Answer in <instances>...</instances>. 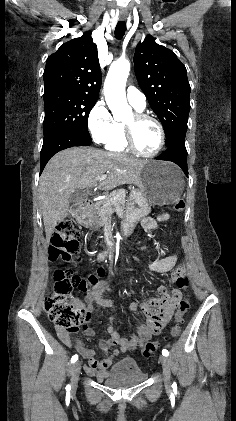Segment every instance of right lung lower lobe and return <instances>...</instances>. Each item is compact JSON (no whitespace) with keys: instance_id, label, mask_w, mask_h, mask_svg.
I'll return each instance as SVG.
<instances>
[{"instance_id":"right-lung-lower-lobe-1","label":"right lung lower lobe","mask_w":236,"mask_h":421,"mask_svg":"<svg viewBox=\"0 0 236 421\" xmlns=\"http://www.w3.org/2000/svg\"><path fill=\"white\" fill-rule=\"evenodd\" d=\"M92 143L91 140L82 138L78 135L69 132H57L50 137L44 139L41 150V168L40 174L49 159L57 152L74 146H88Z\"/></svg>"}]
</instances>
